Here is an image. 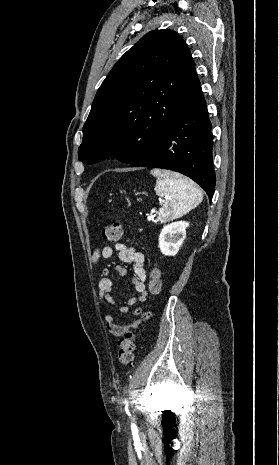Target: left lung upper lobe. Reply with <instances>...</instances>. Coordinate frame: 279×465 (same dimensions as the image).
Wrapping results in <instances>:
<instances>
[{
	"mask_svg": "<svg viewBox=\"0 0 279 465\" xmlns=\"http://www.w3.org/2000/svg\"><path fill=\"white\" fill-rule=\"evenodd\" d=\"M185 41L172 30L144 35L98 89L83 127L80 160L127 163L148 151L185 106L196 81Z\"/></svg>",
	"mask_w": 279,
	"mask_h": 465,
	"instance_id": "obj_1",
	"label": "left lung upper lobe"
}]
</instances>
